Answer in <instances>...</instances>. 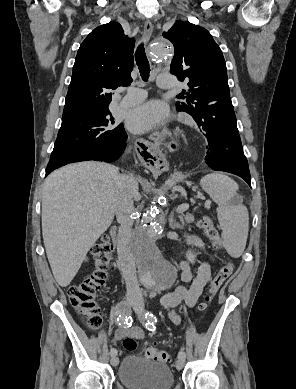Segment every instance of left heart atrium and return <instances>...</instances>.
<instances>
[{
    "label": "left heart atrium",
    "mask_w": 296,
    "mask_h": 389,
    "mask_svg": "<svg viewBox=\"0 0 296 389\" xmlns=\"http://www.w3.org/2000/svg\"><path fill=\"white\" fill-rule=\"evenodd\" d=\"M167 116V106L163 102L151 100L129 112L127 126L134 133H144L163 123Z\"/></svg>",
    "instance_id": "1"
}]
</instances>
